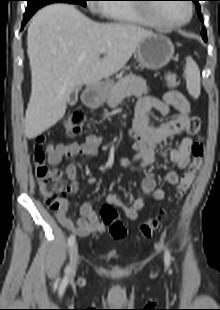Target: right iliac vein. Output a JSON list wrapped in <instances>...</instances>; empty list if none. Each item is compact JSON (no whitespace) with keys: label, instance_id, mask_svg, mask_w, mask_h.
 <instances>
[{"label":"right iliac vein","instance_id":"right-iliac-vein-1","mask_svg":"<svg viewBox=\"0 0 220 310\" xmlns=\"http://www.w3.org/2000/svg\"><path fill=\"white\" fill-rule=\"evenodd\" d=\"M77 265H78V247L76 244H74L70 250V263L66 271L69 277H73L75 275Z\"/></svg>","mask_w":220,"mask_h":310}]
</instances>
